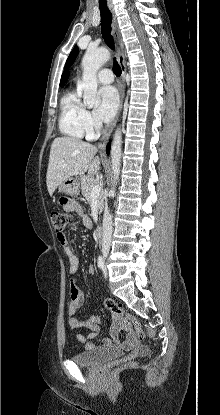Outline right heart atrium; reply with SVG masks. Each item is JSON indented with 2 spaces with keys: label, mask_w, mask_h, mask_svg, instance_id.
Here are the masks:
<instances>
[{
  "label": "right heart atrium",
  "mask_w": 220,
  "mask_h": 415,
  "mask_svg": "<svg viewBox=\"0 0 220 415\" xmlns=\"http://www.w3.org/2000/svg\"><path fill=\"white\" fill-rule=\"evenodd\" d=\"M86 124L91 136H93L94 132L98 130L99 125L93 118L92 114L89 111H86Z\"/></svg>",
  "instance_id": "obj_1"
}]
</instances>
